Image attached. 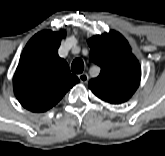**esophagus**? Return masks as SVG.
Listing matches in <instances>:
<instances>
[{
	"label": "esophagus",
	"instance_id": "obj_1",
	"mask_svg": "<svg viewBox=\"0 0 165 156\" xmlns=\"http://www.w3.org/2000/svg\"><path fill=\"white\" fill-rule=\"evenodd\" d=\"M78 78L82 83H86L89 79V76L87 73H81L78 75Z\"/></svg>",
	"mask_w": 165,
	"mask_h": 156
}]
</instances>
